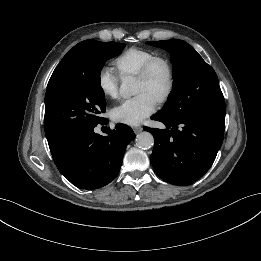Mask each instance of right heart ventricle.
Instances as JSON below:
<instances>
[{
	"label": "right heart ventricle",
	"mask_w": 261,
	"mask_h": 261,
	"mask_svg": "<svg viewBox=\"0 0 261 261\" xmlns=\"http://www.w3.org/2000/svg\"><path fill=\"white\" fill-rule=\"evenodd\" d=\"M155 56L157 54L152 50L131 47L118 55L113 64L121 76H134L138 75L146 63Z\"/></svg>",
	"instance_id": "right-heart-ventricle-1"
}]
</instances>
